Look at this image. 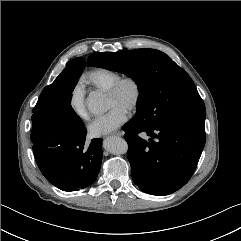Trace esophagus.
I'll use <instances>...</instances> for the list:
<instances>
[{
	"label": "esophagus",
	"instance_id": "1",
	"mask_svg": "<svg viewBox=\"0 0 241 241\" xmlns=\"http://www.w3.org/2000/svg\"><path fill=\"white\" fill-rule=\"evenodd\" d=\"M113 135H116V136H122L123 133H122L121 131H118V132L113 133Z\"/></svg>",
	"mask_w": 241,
	"mask_h": 241
}]
</instances>
